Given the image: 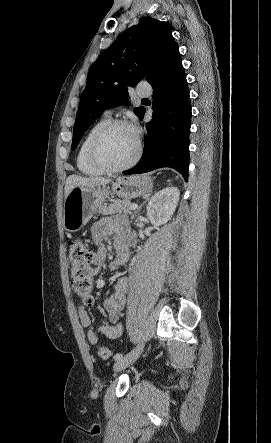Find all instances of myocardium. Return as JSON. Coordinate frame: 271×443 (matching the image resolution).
Here are the masks:
<instances>
[{"label":"myocardium","mask_w":271,"mask_h":443,"mask_svg":"<svg viewBox=\"0 0 271 443\" xmlns=\"http://www.w3.org/2000/svg\"><path fill=\"white\" fill-rule=\"evenodd\" d=\"M118 126L127 127L134 133L136 140V148L134 154L126 163L120 166H111L101 156L100 148L107 134L112 129ZM142 151H143L142 139L137 127L133 123L125 119H111L97 132V134L93 138L89 147V158L91 162L96 167L101 169L103 172L119 173L131 168L140 159Z\"/></svg>","instance_id":"myocardium-1"}]
</instances>
